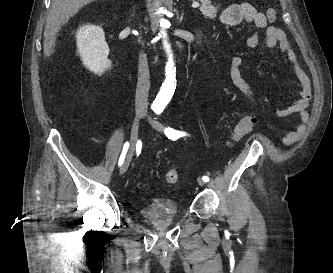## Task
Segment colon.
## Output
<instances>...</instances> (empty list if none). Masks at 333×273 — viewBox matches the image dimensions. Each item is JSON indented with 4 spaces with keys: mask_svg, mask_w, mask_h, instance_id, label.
Wrapping results in <instances>:
<instances>
[{
    "mask_svg": "<svg viewBox=\"0 0 333 273\" xmlns=\"http://www.w3.org/2000/svg\"><path fill=\"white\" fill-rule=\"evenodd\" d=\"M267 19L270 22L275 21L277 13L275 9H268L266 12ZM257 122V118L254 115H246L242 117L235 125L232 139L238 141L247 134H249ZM165 181L170 184H176L178 182V173L174 170H170L165 174Z\"/></svg>",
    "mask_w": 333,
    "mask_h": 273,
    "instance_id": "5ec220e1",
    "label": "colon"
}]
</instances>
